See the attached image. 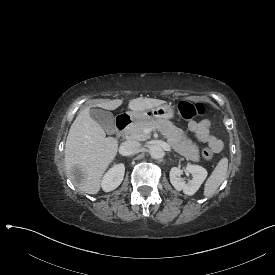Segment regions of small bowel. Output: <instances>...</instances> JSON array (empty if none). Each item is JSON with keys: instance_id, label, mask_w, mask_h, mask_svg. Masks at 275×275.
Wrapping results in <instances>:
<instances>
[{"instance_id": "small-bowel-1", "label": "small bowel", "mask_w": 275, "mask_h": 275, "mask_svg": "<svg viewBox=\"0 0 275 275\" xmlns=\"http://www.w3.org/2000/svg\"><path fill=\"white\" fill-rule=\"evenodd\" d=\"M188 129L195 135L200 143L207 144L213 148L215 152L222 150V141L210 133V122L208 120H203L198 123L192 121L188 124Z\"/></svg>"}]
</instances>
